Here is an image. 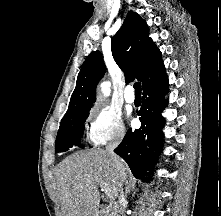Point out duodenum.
Instances as JSON below:
<instances>
[{
    "mask_svg": "<svg viewBox=\"0 0 221 216\" xmlns=\"http://www.w3.org/2000/svg\"><path fill=\"white\" fill-rule=\"evenodd\" d=\"M93 216H103V214L101 213V211H97Z\"/></svg>",
    "mask_w": 221,
    "mask_h": 216,
    "instance_id": "1",
    "label": "duodenum"
}]
</instances>
